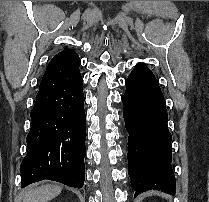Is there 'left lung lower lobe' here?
Wrapping results in <instances>:
<instances>
[{"instance_id": "1", "label": "left lung lower lobe", "mask_w": 209, "mask_h": 202, "mask_svg": "<svg viewBox=\"0 0 209 202\" xmlns=\"http://www.w3.org/2000/svg\"><path fill=\"white\" fill-rule=\"evenodd\" d=\"M123 116L128 138V174L135 196L158 189L175 193L166 103L154 74L138 63L125 81Z\"/></svg>"}]
</instances>
